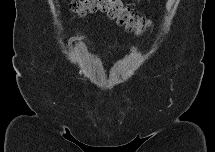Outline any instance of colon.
Segmentation results:
<instances>
[{
    "label": "colon",
    "instance_id": "obj_1",
    "mask_svg": "<svg viewBox=\"0 0 215 152\" xmlns=\"http://www.w3.org/2000/svg\"><path fill=\"white\" fill-rule=\"evenodd\" d=\"M70 9L83 15L86 12H103L127 30L137 34L143 33L150 25L149 19L139 16L118 0H77L73 1Z\"/></svg>",
    "mask_w": 215,
    "mask_h": 152
}]
</instances>
